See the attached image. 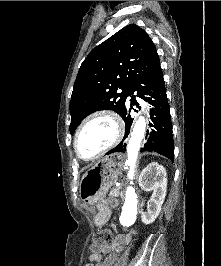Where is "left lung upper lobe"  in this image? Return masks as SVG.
<instances>
[{
	"instance_id": "left-lung-upper-lobe-1",
	"label": "left lung upper lobe",
	"mask_w": 221,
	"mask_h": 266,
	"mask_svg": "<svg viewBox=\"0 0 221 266\" xmlns=\"http://www.w3.org/2000/svg\"><path fill=\"white\" fill-rule=\"evenodd\" d=\"M159 64L154 43L135 24L95 47L81 64L74 83L70 133L95 111L110 109L122 116L131 85Z\"/></svg>"
}]
</instances>
